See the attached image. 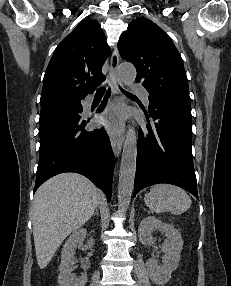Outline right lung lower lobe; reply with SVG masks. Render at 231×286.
I'll list each match as a JSON object with an SVG mask.
<instances>
[{
	"label": "right lung lower lobe",
	"mask_w": 231,
	"mask_h": 286,
	"mask_svg": "<svg viewBox=\"0 0 231 286\" xmlns=\"http://www.w3.org/2000/svg\"><path fill=\"white\" fill-rule=\"evenodd\" d=\"M109 95L110 91L106 98ZM81 100L74 101L77 113L40 124V157L34 192L54 175L76 172L101 188L109 201L112 194L114 154L103 129L85 130L87 121L81 116ZM105 104L106 100L98 111H102Z\"/></svg>",
	"instance_id": "obj_1"
}]
</instances>
